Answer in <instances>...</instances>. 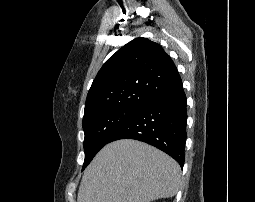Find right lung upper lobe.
<instances>
[{"label":"right lung upper lobe","mask_w":255,"mask_h":202,"mask_svg":"<svg viewBox=\"0 0 255 202\" xmlns=\"http://www.w3.org/2000/svg\"><path fill=\"white\" fill-rule=\"evenodd\" d=\"M181 86L177 68L161 46L135 38L99 70L87 95L84 117L115 107L140 108Z\"/></svg>","instance_id":"1"}]
</instances>
